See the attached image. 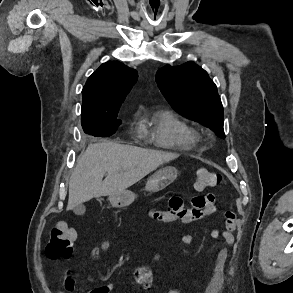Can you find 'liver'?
Wrapping results in <instances>:
<instances>
[{"mask_svg": "<svg viewBox=\"0 0 293 293\" xmlns=\"http://www.w3.org/2000/svg\"><path fill=\"white\" fill-rule=\"evenodd\" d=\"M178 156L109 141L90 144L70 177L67 210L94 197L123 192Z\"/></svg>", "mask_w": 293, "mask_h": 293, "instance_id": "liver-1", "label": "liver"}]
</instances>
